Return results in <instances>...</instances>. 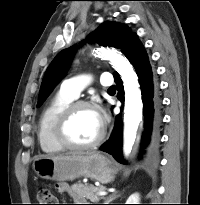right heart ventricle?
Instances as JSON below:
<instances>
[{
    "label": "right heart ventricle",
    "mask_w": 200,
    "mask_h": 205,
    "mask_svg": "<svg viewBox=\"0 0 200 205\" xmlns=\"http://www.w3.org/2000/svg\"><path fill=\"white\" fill-rule=\"evenodd\" d=\"M73 101L74 98L59 91L44 107L38 126V140L44 152L57 153L63 150V147L55 139L54 128L60 113Z\"/></svg>",
    "instance_id": "right-heart-ventricle-1"
}]
</instances>
